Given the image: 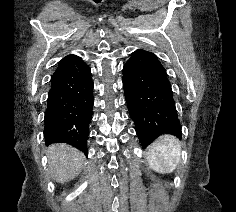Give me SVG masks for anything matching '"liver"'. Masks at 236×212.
<instances>
[{
    "instance_id": "6515ba94",
    "label": "liver",
    "mask_w": 236,
    "mask_h": 212,
    "mask_svg": "<svg viewBox=\"0 0 236 212\" xmlns=\"http://www.w3.org/2000/svg\"><path fill=\"white\" fill-rule=\"evenodd\" d=\"M47 155L50 172L58 183L74 179L80 173L85 161V157L80 151L62 143L51 145Z\"/></svg>"
}]
</instances>
